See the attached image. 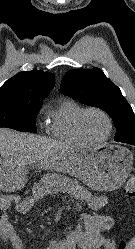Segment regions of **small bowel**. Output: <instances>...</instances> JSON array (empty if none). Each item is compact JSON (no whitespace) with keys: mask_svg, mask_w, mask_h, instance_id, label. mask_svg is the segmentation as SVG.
Masks as SVG:
<instances>
[{"mask_svg":"<svg viewBox=\"0 0 135 249\" xmlns=\"http://www.w3.org/2000/svg\"><path fill=\"white\" fill-rule=\"evenodd\" d=\"M108 203L106 196L94 197L92 206L95 210L101 209ZM12 206L17 212L25 213L28 210L26 202L22 201L16 195H0V209L7 211ZM114 224L113 218L107 214H89L85 220V240L86 249H95L103 247L104 249H115V244L112 238L103 235L104 232L110 230ZM0 239L4 244H11L14 249H22L23 244L16 232L13 224L8 220L6 213L0 218ZM60 244L52 242L46 249H59Z\"/></svg>","mask_w":135,"mask_h":249,"instance_id":"1","label":"small bowel"}]
</instances>
